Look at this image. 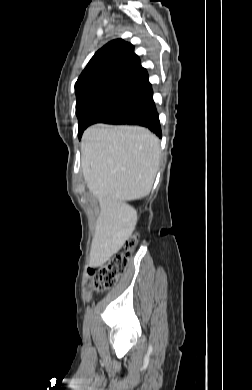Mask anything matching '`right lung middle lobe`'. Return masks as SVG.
Listing matches in <instances>:
<instances>
[{
  "label": "right lung middle lobe",
  "mask_w": 252,
  "mask_h": 390,
  "mask_svg": "<svg viewBox=\"0 0 252 390\" xmlns=\"http://www.w3.org/2000/svg\"><path fill=\"white\" fill-rule=\"evenodd\" d=\"M134 103L136 102L126 99H101L89 102L76 109L79 122V139L88 126L95 123L105 122L113 115L129 108Z\"/></svg>",
  "instance_id": "1"
}]
</instances>
